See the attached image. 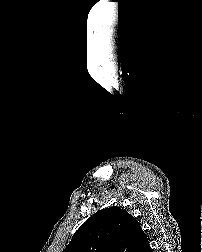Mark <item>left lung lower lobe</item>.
<instances>
[{
    "mask_svg": "<svg viewBox=\"0 0 202 252\" xmlns=\"http://www.w3.org/2000/svg\"><path fill=\"white\" fill-rule=\"evenodd\" d=\"M134 252H153L149 245L147 235L142 229H140L139 231L138 240Z\"/></svg>",
    "mask_w": 202,
    "mask_h": 252,
    "instance_id": "left-lung-lower-lobe-1",
    "label": "left lung lower lobe"
}]
</instances>
